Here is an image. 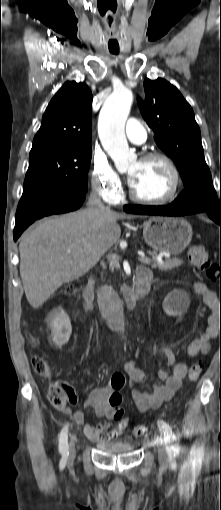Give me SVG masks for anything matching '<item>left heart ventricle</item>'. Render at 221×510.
Segmentation results:
<instances>
[{"label": "left heart ventricle", "instance_id": "1", "mask_svg": "<svg viewBox=\"0 0 221 510\" xmlns=\"http://www.w3.org/2000/svg\"><path fill=\"white\" fill-rule=\"evenodd\" d=\"M128 174L135 193L141 197L158 199L166 196L172 187V174L165 162L151 160L133 162Z\"/></svg>", "mask_w": 221, "mask_h": 510}]
</instances>
